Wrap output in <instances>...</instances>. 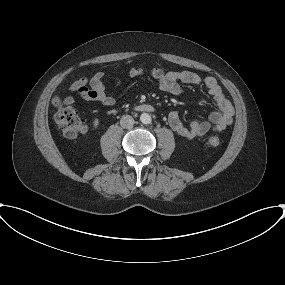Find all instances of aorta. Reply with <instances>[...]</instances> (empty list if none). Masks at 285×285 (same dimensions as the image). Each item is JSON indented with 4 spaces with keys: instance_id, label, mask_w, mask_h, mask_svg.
Here are the masks:
<instances>
[{
    "instance_id": "obj_1",
    "label": "aorta",
    "mask_w": 285,
    "mask_h": 285,
    "mask_svg": "<svg viewBox=\"0 0 285 285\" xmlns=\"http://www.w3.org/2000/svg\"><path fill=\"white\" fill-rule=\"evenodd\" d=\"M140 121L144 124H150L152 121V118L148 113H142L140 116Z\"/></svg>"
}]
</instances>
